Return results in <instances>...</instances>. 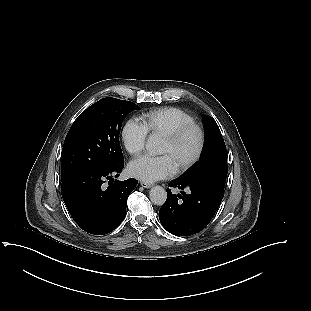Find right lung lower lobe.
<instances>
[{"label":"right lung lower lobe","mask_w":311,"mask_h":311,"mask_svg":"<svg viewBox=\"0 0 311 311\" xmlns=\"http://www.w3.org/2000/svg\"><path fill=\"white\" fill-rule=\"evenodd\" d=\"M124 162L104 170H86L62 181L63 200L74 221L84 231L103 235L116 229L126 216L127 198L138 181H117ZM108 181V187L105 182Z\"/></svg>","instance_id":"98d812e1"}]
</instances>
